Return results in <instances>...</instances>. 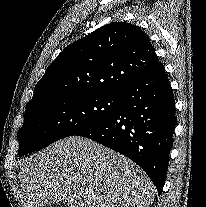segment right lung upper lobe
<instances>
[{"mask_svg":"<svg viewBox=\"0 0 206 207\" xmlns=\"http://www.w3.org/2000/svg\"><path fill=\"white\" fill-rule=\"evenodd\" d=\"M159 63L136 25L113 22L67 46L49 65L26 109L67 96L121 94Z\"/></svg>","mask_w":206,"mask_h":207,"instance_id":"cb5924a9","label":"right lung upper lobe"}]
</instances>
